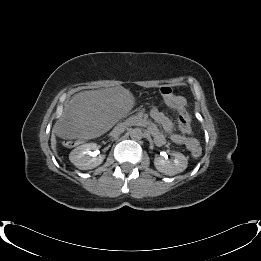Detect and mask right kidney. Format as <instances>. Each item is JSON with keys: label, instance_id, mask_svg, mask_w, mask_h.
I'll use <instances>...</instances> for the list:
<instances>
[{"label": "right kidney", "instance_id": "obj_1", "mask_svg": "<svg viewBox=\"0 0 261 261\" xmlns=\"http://www.w3.org/2000/svg\"><path fill=\"white\" fill-rule=\"evenodd\" d=\"M96 143H86L76 147L69 154V160L79 169L88 170L102 163L101 157H96L100 151Z\"/></svg>", "mask_w": 261, "mask_h": 261}]
</instances>
